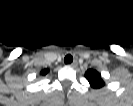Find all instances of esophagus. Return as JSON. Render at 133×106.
<instances>
[{
  "mask_svg": "<svg viewBox=\"0 0 133 106\" xmlns=\"http://www.w3.org/2000/svg\"><path fill=\"white\" fill-rule=\"evenodd\" d=\"M68 66L74 68L77 66V62H73V63L69 64Z\"/></svg>",
  "mask_w": 133,
  "mask_h": 106,
  "instance_id": "1",
  "label": "esophagus"
}]
</instances>
